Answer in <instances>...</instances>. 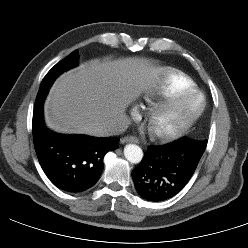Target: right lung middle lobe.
<instances>
[{
    "label": "right lung middle lobe",
    "mask_w": 248,
    "mask_h": 248,
    "mask_svg": "<svg viewBox=\"0 0 248 248\" xmlns=\"http://www.w3.org/2000/svg\"><path fill=\"white\" fill-rule=\"evenodd\" d=\"M79 60L78 50L73 51L65 59L57 63L44 77L40 89L49 88L54 80L64 71L77 66Z\"/></svg>",
    "instance_id": "obj_1"
}]
</instances>
